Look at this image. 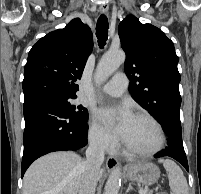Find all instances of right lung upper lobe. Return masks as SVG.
I'll return each instance as SVG.
<instances>
[{
    "label": "right lung upper lobe",
    "mask_w": 201,
    "mask_h": 194,
    "mask_svg": "<svg viewBox=\"0 0 201 194\" xmlns=\"http://www.w3.org/2000/svg\"><path fill=\"white\" fill-rule=\"evenodd\" d=\"M93 48L92 32L79 18L42 37L30 50L24 68V101L45 95L76 97Z\"/></svg>",
    "instance_id": "right-lung-upper-lobe-1"
}]
</instances>
